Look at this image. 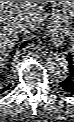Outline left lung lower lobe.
<instances>
[{
	"label": "left lung lower lobe",
	"instance_id": "obj_1",
	"mask_svg": "<svg viewBox=\"0 0 74 122\" xmlns=\"http://www.w3.org/2000/svg\"><path fill=\"white\" fill-rule=\"evenodd\" d=\"M71 63V60H69ZM73 70V69H72ZM62 89L67 92L74 94V72L72 71L71 74L62 82L59 83Z\"/></svg>",
	"mask_w": 74,
	"mask_h": 122
}]
</instances>
